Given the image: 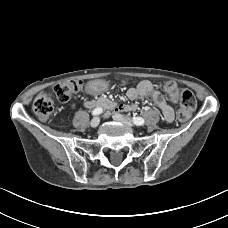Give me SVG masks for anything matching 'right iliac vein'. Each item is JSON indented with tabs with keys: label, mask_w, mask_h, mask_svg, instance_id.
I'll list each match as a JSON object with an SVG mask.
<instances>
[{
	"label": "right iliac vein",
	"mask_w": 228,
	"mask_h": 228,
	"mask_svg": "<svg viewBox=\"0 0 228 228\" xmlns=\"http://www.w3.org/2000/svg\"><path fill=\"white\" fill-rule=\"evenodd\" d=\"M99 123H100L99 117H94L91 120L90 125H91V127L95 128V127H97L99 125Z\"/></svg>",
	"instance_id": "1"
}]
</instances>
